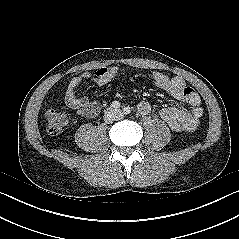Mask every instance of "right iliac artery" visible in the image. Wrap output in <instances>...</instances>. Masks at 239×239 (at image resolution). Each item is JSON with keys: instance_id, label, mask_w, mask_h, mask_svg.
<instances>
[{"instance_id": "right-iliac-artery-1", "label": "right iliac artery", "mask_w": 239, "mask_h": 239, "mask_svg": "<svg viewBox=\"0 0 239 239\" xmlns=\"http://www.w3.org/2000/svg\"><path fill=\"white\" fill-rule=\"evenodd\" d=\"M111 107L114 109H118V108H120V103L118 101H113L111 103Z\"/></svg>"}]
</instances>
